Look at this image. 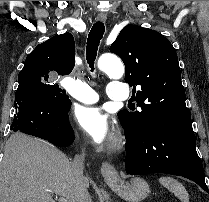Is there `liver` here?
Here are the masks:
<instances>
[{
    "mask_svg": "<svg viewBox=\"0 0 209 202\" xmlns=\"http://www.w3.org/2000/svg\"><path fill=\"white\" fill-rule=\"evenodd\" d=\"M86 187L89 180L84 177ZM76 202V179L68 157L49 143L22 133L8 139L0 164V202Z\"/></svg>",
    "mask_w": 209,
    "mask_h": 202,
    "instance_id": "1",
    "label": "liver"
}]
</instances>
